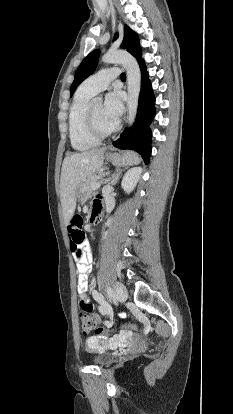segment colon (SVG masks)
I'll return each instance as SVG.
<instances>
[{
	"label": "colon",
	"mask_w": 233,
	"mask_h": 414,
	"mask_svg": "<svg viewBox=\"0 0 233 414\" xmlns=\"http://www.w3.org/2000/svg\"><path fill=\"white\" fill-rule=\"evenodd\" d=\"M83 223L82 217L75 215L68 227L70 247L79 258L84 256L83 245L86 242V236L81 229ZM82 313L80 316L82 332L87 334L91 331H95L97 334H103L106 332V328L100 325V320L93 312V306L88 299L82 298L80 301ZM124 329L137 330L138 326L135 324H128Z\"/></svg>",
	"instance_id": "5ec220e1"
}]
</instances>
